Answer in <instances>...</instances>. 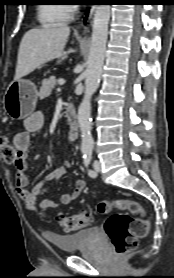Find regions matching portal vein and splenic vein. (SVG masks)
Returning <instances> with one entry per match:
<instances>
[{
	"instance_id": "1",
	"label": "portal vein and splenic vein",
	"mask_w": 174,
	"mask_h": 278,
	"mask_svg": "<svg viewBox=\"0 0 174 278\" xmlns=\"http://www.w3.org/2000/svg\"><path fill=\"white\" fill-rule=\"evenodd\" d=\"M64 83H65L64 80L59 81V85L61 86L64 85Z\"/></svg>"
}]
</instances>
